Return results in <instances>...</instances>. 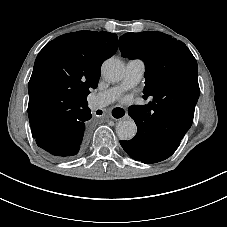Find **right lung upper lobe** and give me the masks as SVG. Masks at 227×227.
<instances>
[{
    "label": "right lung upper lobe",
    "mask_w": 227,
    "mask_h": 227,
    "mask_svg": "<svg viewBox=\"0 0 227 227\" xmlns=\"http://www.w3.org/2000/svg\"><path fill=\"white\" fill-rule=\"evenodd\" d=\"M117 51V35L78 31L61 35L38 54L28 84L30 125L52 131L70 120L72 110L87 104L103 61Z\"/></svg>",
    "instance_id": "right-lung-upper-lobe-1"
}]
</instances>
